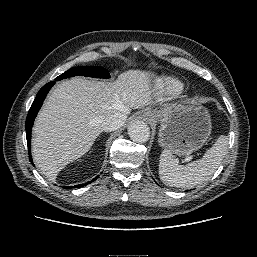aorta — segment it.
<instances>
[{
	"mask_svg": "<svg viewBox=\"0 0 257 257\" xmlns=\"http://www.w3.org/2000/svg\"><path fill=\"white\" fill-rule=\"evenodd\" d=\"M128 134L135 142H146L150 137V129L148 125L141 120H133L128 126Z\"/></svg>",
	"mask_w": 257,
	"mask_h": 257,
	"instance_id": "1",
	"label": "aorta"
}]
</instances>
